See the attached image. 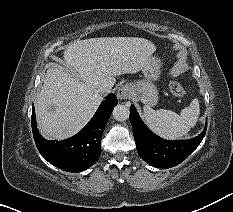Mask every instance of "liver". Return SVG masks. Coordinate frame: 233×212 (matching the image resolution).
<instances>
[{"mask_svg":"<svg viewBox=\"0 0 233 212\" xmlns=\"http://www.w3.org/2000/svg\"><path fill=\"white\" fill-rule=\"evenodd\" d=\"M155 50L151 41L138 37H100L71 43L63 57L78 77L58 64L47 70L35 103L40 133L55 140L76 134L102 100L97 88H112L117 76L142 71Z\"/></svg>","mask_w":233,"mask_h":212,"instance_id":"1","label":"liver"}]
</instances>
